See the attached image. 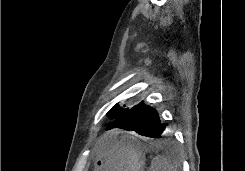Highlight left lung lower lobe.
<instances>
[{
	"label": "left lung lower lobe",
	"mask_w": 245,
	"mask_h": 171,
	"mask_svg": "<svg viewBox=\"0 0 245 171\" xmlns=\"http://www.w3.org/2000/svg\"><path fill=\"white\" fill-rule=\"evenodd\" d=\"M120 128L132 130L140 135L160 138L165 130L158 112L143 102L132 106L121 118L111 125L110 129Z\"/></svg>",
	"instance_id": "left-lung-lower-lobe-1"
}]
</instances>
